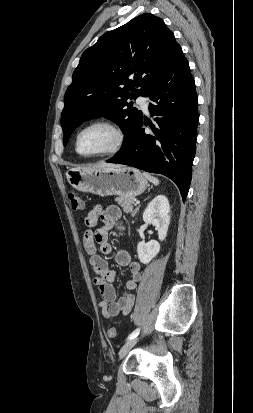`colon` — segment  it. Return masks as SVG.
Listing matches in <instances>:
<instances>
[{
	"label": "colon",
	"mask_w": 253,
	"mask_h": 413,
	"mask_svg": "<svg viewBox=\"0 0 253 413\" xmlns=\"http://www.w3.org/2000/svg\"><path fill=\"white\" fill-rule=\"evenodd\" d=\"M68 199L73 210H82L84 208L83 200L75 191L71 190L68 193ZM116 333L115 327H109L107 330V335L109 338H114Z\"/></svg>",
	"instance_id": "1"
}]
</instances>
